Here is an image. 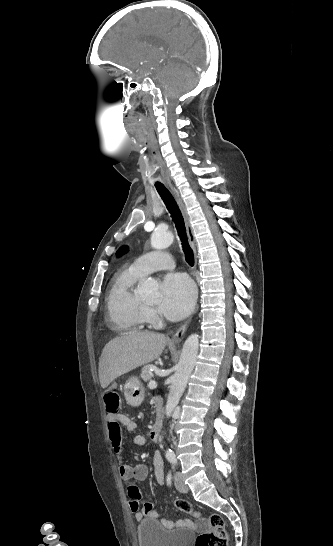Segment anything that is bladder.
<instances>
[{"label":"bladder","mask_w":333,"mask_h":546,"mask_svg":"<svg viewBox=\"0 0 333 546\" xmlns=\"http://www.w3.org/2000/svg\"><path fill=\"white\" fill-rule=\"evenodd\" d=\"M140 546H191L194 533L189 529H165L159 521L145 517L137 525Z\"/></svg>","instance_id":"31cf9c89"}]
</instances>
